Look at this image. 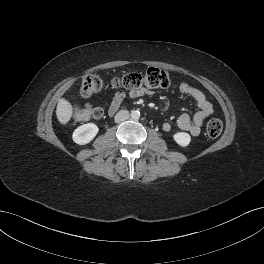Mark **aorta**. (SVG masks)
Segmentation results:
<instances>
[{
  "mask_svg": "<svg viewBox=\"0 0 264 264\" xmlns=\"http://www.w3.org/2000/svg\"><path fill=\"white\" fill-rule=\"evenodd\" d=\"M131 118L133 120H138L140 118V112L138 110H133L131 112Z\"/></svg>",
  "mask_w": 264,
  "mask_h": 264,
  "instance_id": "aorta-1",
  "label": "aorta"
}]
</instances>
